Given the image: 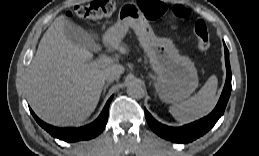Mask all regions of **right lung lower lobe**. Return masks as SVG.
I'll use <instances>...</instances> for the list:
<instances>
[{
	"mask_svg": "<svg viewBox=\"0 0 259 156\" xmlns=\"http://www.w3.org/2000/svg\"><path fill=\"white\" fill-rule=\"evenodd\" d=\"M112 98L113 96L107 101L97 120L80 128H57L51 126L40 120L31 109L30 111L38 124L47 132H49L53 137L59 138L67 142L87 140L96 137L104 130L107 124L108 109Z\"/></svg>",
	"mask_w": 259,
	"mask_h": 156,
	"instance_id": "1",
	"label": "right lung lower lobe"
}]
</instances>
